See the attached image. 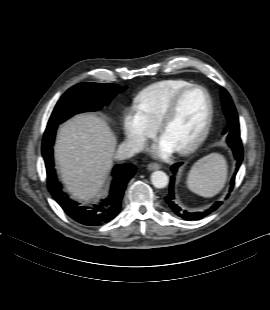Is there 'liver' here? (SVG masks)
Returning <instances> with one entry per match:
<instances>
[{"label": "liver", "instance_id": "1", "mask_svg": "<svg viewBox=\"0 0 270 310\" xmlns=\"http://www.w3.org/2000/svg\"><path fill=\"white\" fill-rule=\"evenodd\" d=\"M115 149V135L94 113L76 115L59 127L54 157L72 198L93 201L101 195Z\"/></svg>", "mask_w": 270, "mask_h": 310}]
</instances>
